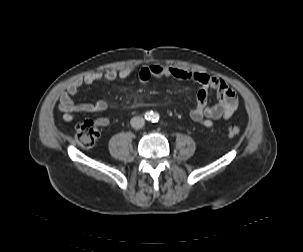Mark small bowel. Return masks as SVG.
Listing matches in <instances>:
<instances>
[{
	"instance_id": "small-bowel-1",
	"label": "small bowel",
	"mask_w": 303,
	"mask_h": 252,
	"mask_svg": "<svg viewBox=\"0 0 303 252\" xmlns=\"http://www.w3.org/2000/svg\"><path fill=\"white\" fill-rule=\"evenodd\" d=\"M137 74L139 81L146 82L152 77L174 78L177 80H194L201 85L196 97L194 107L190 110L189 117L192 121L205 127H212L219 120L229 119L239 106V98L236 92L219 77L188 73L178 67L167 65H150L136 69L125 67L122 69H112L107 71H96L88 73L70 83L62 92L58 104V110L62 113L65 122H71L75 118V113L103 112L108 108L104 100L93 102L75 103L73 98L79 93L84 85H92L96 82L114 81L116 79H127ZM215 91L218 102L215 105H208L209 91ZM98 125L108 126L110 120L106 117L97 120Z\"/></svg>"
}]
</instances>
